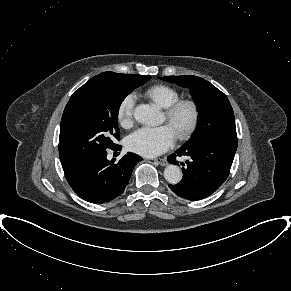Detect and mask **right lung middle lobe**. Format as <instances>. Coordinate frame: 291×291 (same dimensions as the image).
Wrapping results in <instances>:
<instances>
[{
    "label": "right lung middle lobe",
    "mask_w": 291,
    "mask_h": 291,
    "mask_svg": "<svg viewBox=\"0 0 291 291\" xmlns=\"http://www.w3.org/2000/svg\"><path fill=\"white\" fill-rule=\"evenodd\" d=\"M151 76L134 80L91 78L67 103L60 124L59 156L63 170L79 160L112 149L119 140L118 111L133 89Z\"/></svg>",
    "instance_id": "dd1d6c3e"
}]
</instances>
